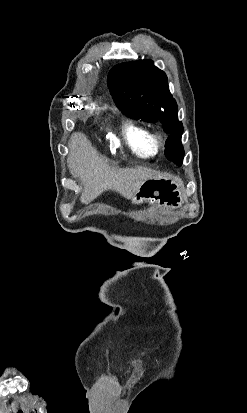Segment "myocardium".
Listing matches in <instances>:
<instances>
[{
    "instance_id": "myocardium-1",
    "label": "myocardium",
    "mask_w": 247,
    "mask_h": 413,
    "mask_svg": "<svg viewBox=\"0 0 247 413\" xmlns=\"http://www.w3.org/2000/svg\"><path fill=\"white\" fill-rule=\"evenodd\" d=\"M147 141L149 146L155 151L161 150L164 146V140L157 132H147Z\"/></svg>"
}]
</instances>
